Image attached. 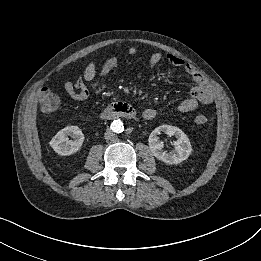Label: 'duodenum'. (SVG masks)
I'll return each instance as SVG.
<instances>
[{
	"label": "duodenum",
	"instance_id": "duodenum-1",
	"mask_svg": "<svg viewBox=\"0 0 261 261\" xmlns=\"http://www.w3.org/2000/svg\"><path fill=\"white\" fill-rule=\"evenodd\" d=\"M136 111L127 102H116L103 110L100 114L101 119L114 120L118 118H134Z\"/></svg>",
	"mask_w": 261,
	"mask_h": 261
}]
</instances>
